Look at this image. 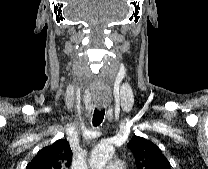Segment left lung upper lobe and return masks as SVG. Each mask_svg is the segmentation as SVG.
Returning <instances> with one entry per match:
<instances>
[{"label": "left lung upper lobe", "mask_w": 208, "mask_h": 169, "mask_svg": "<svg viewBox=\"0 0 208 169\" xmlns=\"http://www.w3.org/2000/svg\"><path fill=\"white\" fill-rule=\"evenodd\" d=\"M133 152L137 169H170V163L158 146L134 135L127 144Z\"/></svg>", "instance_id": "1"}]
</instances>
